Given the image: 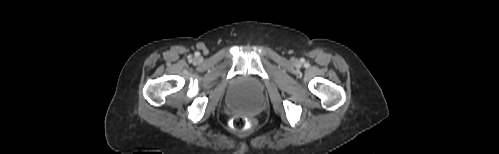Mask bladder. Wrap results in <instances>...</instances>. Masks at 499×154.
<instances>
[{
    "mask_svg": "<svg viewBox=\"0 0 499 154\" xmlns=\"http://www.w3.org/2000/svg\"><path fill=\"white\" fill-rule=\"evenodd\" d=\"M256 89L257 85L251 80L240 82L235 90V94L230 98V104L240 111H254L257 108V102L249 95Z\"/></svg>",
    "mask_w": 499,
    "mask_h": 154,
    "instance_id": "1",
    "label": "bladder"
}]
</instances>
